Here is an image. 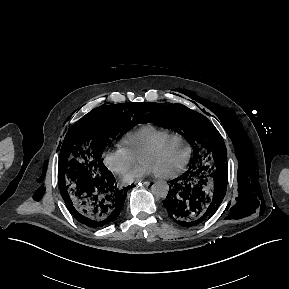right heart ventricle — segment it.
Returning <instances> with one entry per match:
<instances>
[{"label":"right heart ventricle","mask_w":289,"mask_h":289,"mask_svg":"<svg viewBox=\"0 0 289 289\" xmlns=\"http://www.w3.org/2000/svg\"><path fill=\"white\" fill-rule=\"evenodd\" d=\"M167 128L152 124H144L131 131H128L121 137V144L139 157L143 150L152 145L158 139L172 133Z\"/></svg>","instance_id":"right-heart-ventricle-1"}]
</instances>
